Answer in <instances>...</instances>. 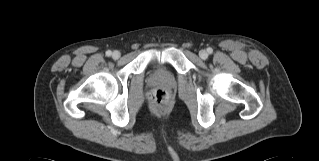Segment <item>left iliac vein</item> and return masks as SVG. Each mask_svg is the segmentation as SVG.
Returning <instances> with one entry per match:
<instances>
[{
	"label": "left iliac vein",
	"mask_w": 319,
	"mask_h": 161,
	"mask_svg": "<svg viewBox=\"0 0 319 161\" xmlns=\"http://www.w3.org/2000/svg\"><path fill=\"white\" fill-rule=\"evenodd\" d=\"M199 56L201 57V59L205 60L208 57V53L205 50H201L199 52Z\"/></svg>",
	"instance_id": "obj_1"
}]
</instances>
